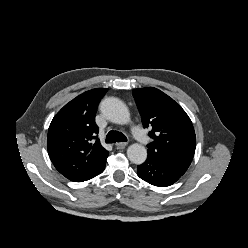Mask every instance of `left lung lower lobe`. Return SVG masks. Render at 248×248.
I'll list each match as a JSON object with an SVG mask.
<instances>
[{
	"instance_id": "obj_1",
	"label": "left lung lower lobe",
	"mask_w": 248,
	"mask_h": 248,
	"mask_svg": "<svg viewBox=\"0 0 248 248\" xmlns=\"http://www.w3.org/2000/svg\"><path fill=\"white\" fill-rule=\"evenodd\" d=\"M186 170L148 156L146 161L138 166L137 174L154 186L167 187L175 183Z\"/></svg>"
}]
</instances>
